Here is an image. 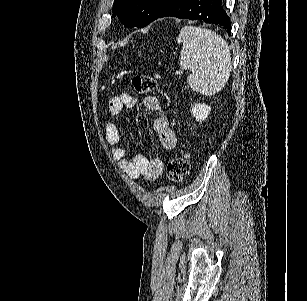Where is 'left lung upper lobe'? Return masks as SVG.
<instances>
[{"mask_svg": "<svg viewBox=\"0 0 307 301\" xmlns=\"http://www.w3.org/2000/svg\"><path fill=\"white\" fill-rule=\"evenodd\" d=\"M176 0H115L113 17L125 27H144L157 19Z\"/></svg>", "mask_w": 307, "mask_h": 301, "instance_id": "obj_1", "label": "left lung upper lobe"}]
</instances>
